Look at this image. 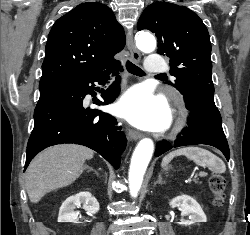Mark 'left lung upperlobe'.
<instances>
[{"label": "left lung upper lobe", "mask_w": 250, "mask_h": 235, "mask_svg": "<svg viewBox=\"0 0 250 235\" xmlns=\"http://www.w3.org/2000/svg\"><path fill=\"white\" fill-rule=\"evenodd\" d=\"M137 28L155 33L157 52L170 58V74L176 80L167 84L180 93L192 86L213 84L209 33L193 11L173 3H154L145 8Z\"/></svg>", "instance_id": "5c2ea615"}]
</instances>
